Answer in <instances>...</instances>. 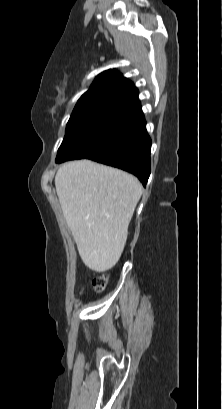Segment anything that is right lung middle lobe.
Returning <instances> with one entry per match:
<instances>
[{
	"label": "right lung middle lobe",
	"mask_w": 222,
	"mask_h": 409,
	"mask_svg": "<svg viewBox=\"0 0 222 409\" xmlns=\"http://www.w3.org/2000/svg\"><path fill=\"white\" fill-rule=\"evenodd\" d=\"M127 109L122 106H99L74 109L56 162L82 159L98 149L116 120Z\"/></svg>",
	"instance_id": "dd1d6c3e"
}]
</instances>
